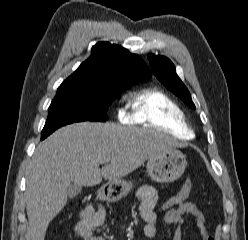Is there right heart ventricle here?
Instances as JSON below:
<instances>
[{
  "label": "right heart ventricle",
  "mask_w": 248,
  "mask_h": 240,
  "mask_svg": "<svg viewBox=\"0 0 248 240\" xmlns=\"http://www.w3.org/2000/svg\"><path fill=\"white\" fill-rule=\"evenodd\" d=\"M130 110L125 116L129 124L157 129L179 140L193 137L182 107L167 93L159 89H142L129 99Z\"/></svg>",
  "instance_id": "obj_1"
}]
</instances>
